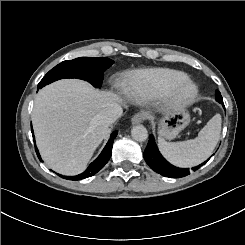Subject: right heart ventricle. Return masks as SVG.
<instances>
[{
    "mask_svg": "<svg viewBox=\"0 0 245 245\" xmlns=\"http://www.w3.org/2000/svg\"><path fill=\"white\" fill-rule=\"evenodd\" d=\"M186 79L187 75L179 71L153 69L138 74V88L148 95H155L166 87Z\"/></svg>",
    "mask_w": 245,
    "mask_h": 245,
    "instance_id": "obj_1",
    "label": "right heart ventricle"
}]
</instances>
